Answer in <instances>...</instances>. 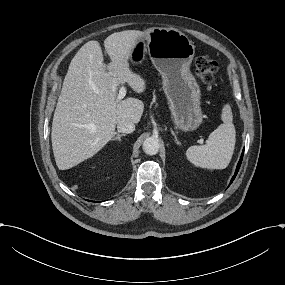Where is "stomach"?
<instances>
[{
  "label": "stomach",
  "instance_id": "stomach-1",
  "mask_svg": "<svg viewBox=\"0 0 285 285\" xmlns=\"http://www.w3.org/2000/svg\"><path fill=\"white\" fill-rule=\"evenodd\" d=\"M146 53L162 76L163 90L175 125L183 131L197 129L203 115L200 88L190 72L195 55L192 41L175 28H150L136 42L129 61L139 64Z\"/></svg>",
  "mask_w": 285,
  "mask_h": 285
}]
</instances>
